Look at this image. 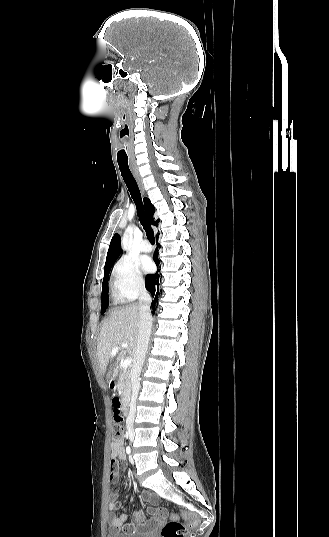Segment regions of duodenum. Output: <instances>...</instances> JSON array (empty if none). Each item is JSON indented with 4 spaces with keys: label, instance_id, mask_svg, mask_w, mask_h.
<instances>
[{
    "label": "duodenum",
    "instance_id": "duodenum-1",
    "mask_svg": "<svg viewBox=\"0 0 329 537\" xmlns=\"http://www.w3.org/2000/svg\"><path fill=\"white\" fill-rule=\"evenodd\" d=\"M116 387H117V383H116V381H115V380H111V381L109 382V388H110L111 390H115ZM117 404L119 405V408H121L122 416L126 415L127 412H128V404H127V402H126V401H120V400H118V401H117Z\"/></svg>",
    "mask_w": 329,
    "mask_h": 537
}]
</instances>
